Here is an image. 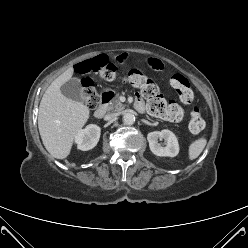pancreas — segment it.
<instances>
[{
    "mask_svg": "<svg viewBox=\"0 0 248 248\" xmlns=\"http://www.w3.org/2000/svg\"><path fill=\"white\" fill-rule=\"evenodd\" d=\"M125 106L120 102L119 95H116L108 105V110L112 112H120Z\"/></svg>",
    "mask_w": 248,
    "mask_h": 248,
    "instance_id": "1",
    "label": "pancreas"
}]
</instances>
